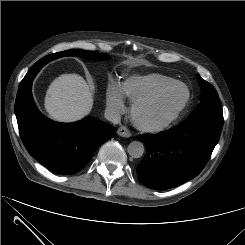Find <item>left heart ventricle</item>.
<instances>
[{
	"instance_id": "obj_1",
	"label": "left heart ventricle",
	"mask_w": 245,
	"mask_h": 245,
	"mask_svg": "<svg viewBox=\"0 0 245 245\" xmlns=\"http://www.w3.org/2000/svg\"><path fill=\"white\" fill-rule=\"evenodd\" d=\"M185 96L183 87H174L157 101L144 106L140 111V118L149 124L163 122L177 111Z\"/></svg>"
}]
</instances>
